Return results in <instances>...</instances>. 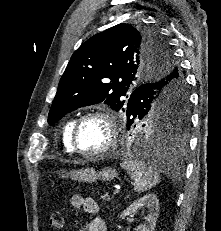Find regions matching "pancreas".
Listing matches in <instances>:
<instances>
[{
  "label": "pancreas",
  "instance_id": "1",
  "mask_svg": "<svg viewBox=\"0 0 221 231\" xmlns=\"http://www.w3.org/2000/svg\"><path fill=\"white\" fill-rule=\"evenodd\" d=\"M103 201H107V202H109V201H111L112 200V198L110 197V196H108V195H101V197H100Z\"/></svg>",
  "mask_w": 221,
  "mask_h": 231
}]
</instances>
